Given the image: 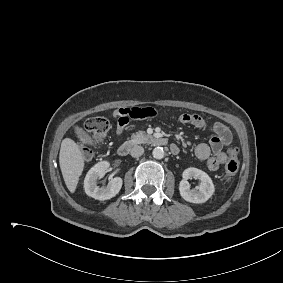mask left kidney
<instances>
[{
  "label": "left kidney",
  "mask_w": 283,
  "mask_h": 283,
  "mask_svg": "<svg viewBox=\"0 0 283 283\" xmlns=\"http://www.w3.org/2000/svg\"><path fill=\"white\" fill-rule=\"evenodd\" d=\"M183 179L179 185V192L181 197L191 203H204L214 193L215 188L211 178L202 170L191 167L184 170ZM198 179L200 185L196 189H190L188 179Z\"/></svg>",
  "instance_id": "left-kidney-1"
}]
</instances>
